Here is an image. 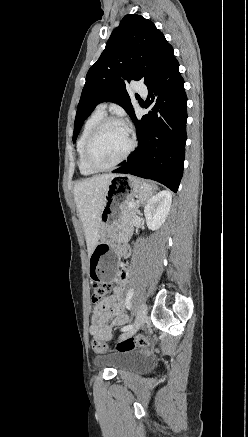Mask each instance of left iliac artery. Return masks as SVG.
<instances>
[{"label":"left iliac artery","instance_id":"left-iliac-artery-1","mask_svg":"<svg viewBox=\"0 0 248 437\" xmlns=\"http://www.w3.org/2000/svg\"><path fill=\"white\" fill-rule=\"evenodd\" d=\"M133 295H134V289H130L126 295L125 304H126L127 309H129V310L131 309V299H132ZM133 326H134V324H129L127 326L122 327L121 330L124 332L129 331L130 329L133 328Z\"/></svg>","mask_w":248,"mask_h":437}]
</instances>
